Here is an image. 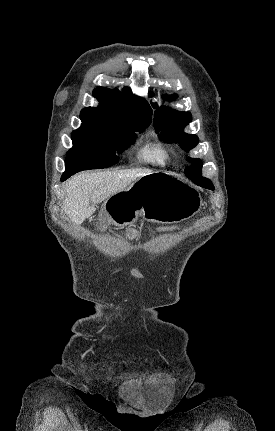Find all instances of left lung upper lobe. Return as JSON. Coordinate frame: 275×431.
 I'll use <instances>...</instances> for the list:
<instances>
[{
  "label": "left lung upper lobe",
  "instance_id": "1",
  "mask_svg": "<svg viewBox=\"0 0 275 431\" xmlns=\"http://www.w3.org/2000/svg\"><path fill=\"white\" fill-rule=\"evenodd\" d=\"M152 97L153 94L149 93ZM177 95L164 96L165 99L173 100ZM153 108H156L154 125L157 131L161 130V139L167 143L179 142L185 151L194 148L199 139L196 135H191L183 132V128L191 122V114L189 112H180L169 109L167 107H158L156 103H151ZM192 165L185 170V175L197 176L201 174L202 162L200 159L188 158Z\"/></svg>",
  "mask_w": 275,
  "mask_h": 431
}]
</instances>
